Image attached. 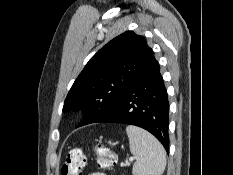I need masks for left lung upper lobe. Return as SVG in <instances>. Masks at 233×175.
Listing matches in <instances>:
<instances>
[{
    "instance_id": "1",
    "label": "left lung upper lobe",
    "mask_w": 233,
    "mask_h": 175,
    "mask_svg": "<svg viewBox=\"0 0 233 175\" xmlns=\"http://www.w3.org/2000/svg\"><path fill=\"white\" fill-rule=\"evenodd\" d=\"M154 58L146 40L126 31L108 42L87 63L72 85L63 111L83 108L80 126L95 123L117 103Z\"/></svg>"
}]
</instances>
